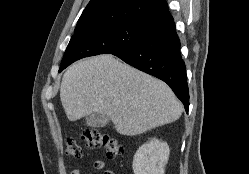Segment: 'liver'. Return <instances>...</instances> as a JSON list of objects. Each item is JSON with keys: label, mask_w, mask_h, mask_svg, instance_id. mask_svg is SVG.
<instances>
[{"label": "liver", "mask_w": 249, "mask_h": 174, "mask_svg": "<svg viewBox=\"0 0 249 174\" xmlns=\"http://www.w3.org/2000/svg\"><path fill=\"white\" fill-rule=\"evenodd\" d=\"M60 99L70 121L102 113L126 136L172 123L183 112L166 83L109 54L70 66L62 79Z\"/></svg>", "instance_id": "obj_1"}]
</instances>
